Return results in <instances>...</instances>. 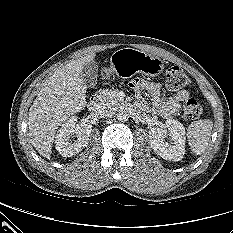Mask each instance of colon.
Here are the masks:
<instances>
[{"mask_svg":"<svg viewBox=\"0 0 233 233\" xmlns=\"http://www.w3.org/2000/svg\"><path fill=\"white\" fill-rule=\"evenodd\" d=\"M190 79L178 66L170 67L165 74V84L171 90H178L188 86ZM202 113L201 104L194 98H189L183 105V116L186 120L193 121Z\"/></svg>","mask_w":233,"mask_h":233,"instance_id":"obj_1","label":"colon"}]
</instances>
